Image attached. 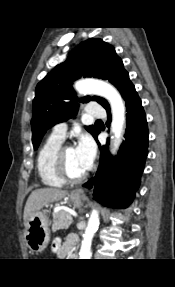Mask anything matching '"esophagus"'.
<instances>
[{"label": "esophagus", "mask_w": 175, "mask_h": 287, "mask_svg": "<svg viewBox=\"0 0 175 287\" xmlns=\"http://www.w3.org/2000/svg\"><path fill=\"white\" fill-rule=\"evenodd\" d=\"M75 193H77V194H82L83 191H82L81 189H79V190H76Z\"/></svg>", "instance_id": "esophagus-1"}]
</instances>
